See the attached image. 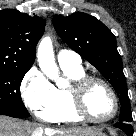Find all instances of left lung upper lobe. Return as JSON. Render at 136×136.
I'll return each mask as SVG.
<instances>
[{
	"mask_svg": "<svg viewBox=\"0 0 136 136\" xmlns=\"http://www.w3.org/2000/svg\"><path fill=\"white\" fill-rule=\"evenodd\" d=\"M54 27L62 40L88 60L111 83L120 100L119 121H132L121 57L113 33L97 18L85 13L55 15Z\"/></svg>",
	"mask_w": 136,
	"mask_h": 136,
	"instance_id": "5c2ea615",
	"label": "left lung upper lobe"
}]
</instances>
